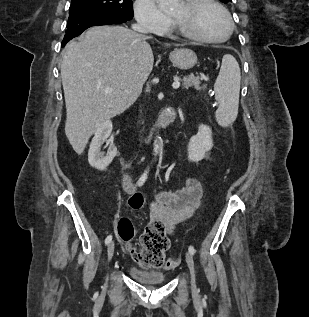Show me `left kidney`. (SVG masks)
Returning a JSON list of instances; mask_svg holds the SVG:
<instances>
[{
    "instance_id": "left-kidney-1",
    "label": "left kidney",
    "mask_w": 309,
    "mask_h": 317,
    "mask_svg": "<svg viewBox=\"0 0 309 317\" xmlns=\"http://www.w3.org/2000/svg\"><path fill=\"white\" fill-rule=\"evenodd\" d=\"M212 147V130L209 126L201 124L197 135L193 136L188 143V159L191 162H199Z\"/></svg>"
}]
</instances>
